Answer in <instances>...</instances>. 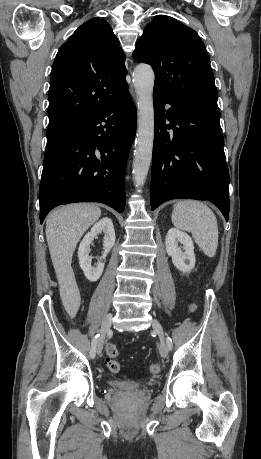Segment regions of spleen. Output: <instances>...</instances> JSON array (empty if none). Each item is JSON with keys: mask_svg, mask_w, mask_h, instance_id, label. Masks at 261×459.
Segmentation results:
<instances>
[{"mask_svg": "<svg viewBox=\"0 0 261 459\" xmlns=\"http://www.w3.org/2000/svg\"><path fill=\"white\" fill-rule=\"evenodd\" d=\"M173 225L191 232L196 244L210 258L218 246V224L213 211L203 202L183 200L174 205L171 216Z\"/></svg>", "mask_w": 261, "mask_h": 459, "instance_id": "obj_1", "label": "spleen"}]
</instances>
